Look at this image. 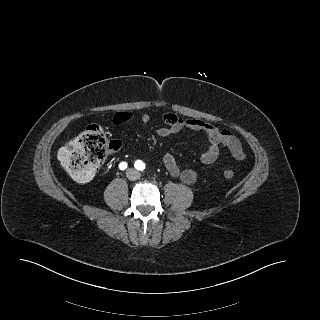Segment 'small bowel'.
<instances>
[{
	"mask_svg": "<svg viewBox=\"0 0 320 320\" xmlns=\"http://www.w3.org/2000/svg\"><path fill=\"white\" fill-rule=\"evenodd\" d=\"M133 118L130 112H117L113 116V123L116 125L124 124ZM150 121L148 114L141 116V122L147 124ZM164 126L156 130L155 135L159 138H165L177 134L183 130L203 132L208 138V146L201 155L202 163L206 165L213 164L219 154L221 147L229 150L231 155L238 160L245 156L240 140L229 130L220 129L217 126L207 123L197 118H181L173 113L163 115ZM162 163L166 170L174 177L180 178L184 183L191 185L199 177V173L193 168L181 169L174 155L166 153L162 157Z\"/></svg>",
	"mask_w": 320,
	"mask_h": 320,
	"instance_id": "obj_1",
	"label": "small bowel"
}]
</instances>
